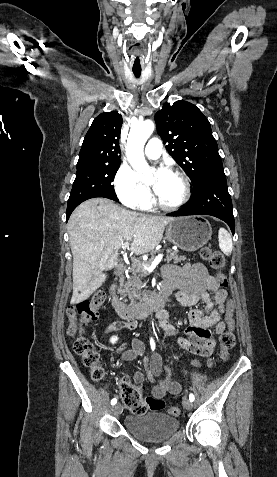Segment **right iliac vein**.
Here are the masks:
<instances>
[{"instance_id":"obj_1","label":"right iliac vein","mask_w":277,"mask_h":477,"mask_svg":"<svg viewBox=\"0 0 277 477\" xmlns=\"http://www.w3.org/2000/svg\"><path fill=\"white\" fill-rule=\"evenodd\" d=\"M113 414L117 415L121 412V405L117 404L112 407Z\"/></svg>"}]
</instances>
